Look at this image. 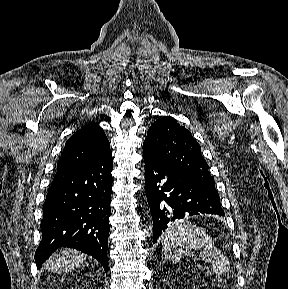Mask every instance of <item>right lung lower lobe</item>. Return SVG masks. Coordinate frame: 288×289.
Listing matches in <instances>:
<instances>
[{"mask_svg": "<svg viewBox=\"0 0 288 289\" xmlns=\"http://www.w3.org/2000/svg\"><path fill=\"white\" fill-rule=\"evenodd\" d=\"M112 170L110 154L97 163L56 172L43 205L38 268L66 246L93 256L107 272Z\"/></svg>", "mask_w": 288, "mask_h": 289, "instance_id": "98d812e1", "label": "right lung lower lobe"}]
</instances>
